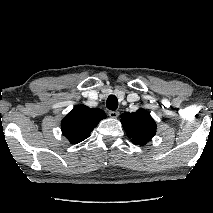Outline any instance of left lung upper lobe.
I'll return each mask as SVG.
<instances>
[{"instance_id": "1", "label": "left lung upper lobe", "mask_w": 213, "mask_h": 213, "mask_svg": "<svg viewBox=\"0 0 213 213\" xmlns=\"http://www.w3.org/2000/svg\"><path fill=\"white\" fill-rule=\"evenodd\" d=\"M121 123L127 136L136 145L144 146L156 134V123L144 109L123 113Z\"/></svg>"}]
</instances>
